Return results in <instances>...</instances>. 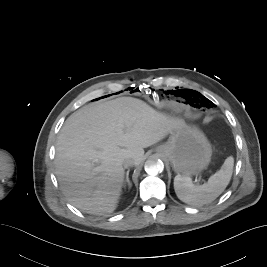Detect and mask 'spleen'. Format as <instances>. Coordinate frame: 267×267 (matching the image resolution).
I'll return each mask as SVG.
<instances>
[{"mask_svg": "<svg viewBox=\"0 0 267 267\" xmlns=\"http://www.w3.org/2000/svg\"><path fill=\"white\" fill-rule=\"evenodd\" d=\"M234 159L228 157L221 169L210 176L202 185L193 184L190 177L177 175L174 190L177 197L190 205L202 206L215 200L227 187L233 172Z\"/></svg>", "mask_w": 267, "mask_h": 267, "instance_id": "1", "label": "spleen"}]
</instances>
